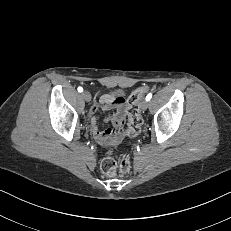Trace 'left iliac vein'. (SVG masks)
Instances as JSON below:
<instances>
[{"label": "left iliac vein", "instance_id": "1", "mask_svg": "<svg viewBox=\"0 0 231 231\" xmlns=\"http://www.w3.org/2000/svg\"><path fill=\"white\" fill-rule=\"evenodd\" d=\"M140 106L142 110H146L148 108V101L142 100Z\"/></svg>", "mask_w": 231, "mask_h": 231}]
</instances>
